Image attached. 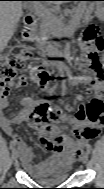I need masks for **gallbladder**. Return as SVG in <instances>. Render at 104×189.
Listing matches in <instances>:
<instances>
[{
    "instance_id": "1",
    "label": "gallbladder",
    "mask_w": 104,
    "mask_h": 189,
    "mask_svg": "<svg viewBox=\"0 0 104 189\" xmlns=\"http://www.w3.org/2000/svg\"><path fill=\"white\" fill-rule=\"evenodd\" d=\"M23 7L26 8V9H29V8H31V5H30V4H27V3H24V4H23Z\"/></svg>"
}]
</instances>
